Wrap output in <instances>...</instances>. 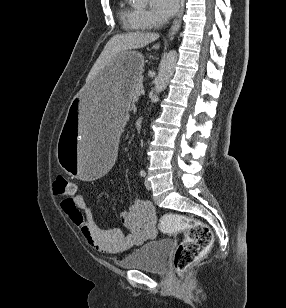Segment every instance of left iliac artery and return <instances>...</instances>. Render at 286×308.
Instances as JSON below:
<instances>
[{"label":"left iliac artery","mask_w":286,"mask_h":308,"mask_svg":"<svg viewBox=\"0 0 286 308\" xmlns=\"http://www.w3.org/2000/svg\"><path fill=\"white\" fill-rule=\"evenodd\" d=\"M140 175H141L142 177H144V176L146 175L145 170L141 169V170H140Z\"/></svg>","instance_id":"44dca946"}]
</instances>
